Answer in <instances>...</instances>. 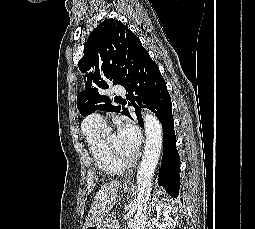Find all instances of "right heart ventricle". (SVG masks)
Masks as SVG:
<instances>
[{"instance_id":"right-heart-ventricle-1","label":"right heart ventricle","mask_w":255,"mask_h":229,"mask_svg":"<svg viewBox=\"0 0 255 229\" xmlns=\"http://www.w3.org/2000/svg\"><path fill=\"white\" fill-rule=\"evenodd\" d=\"M83 133L95 166L108 176H118L123 173L124 168L113 162L102 147V127H87L84 120Z\"/></svg>"}]
</instances>
